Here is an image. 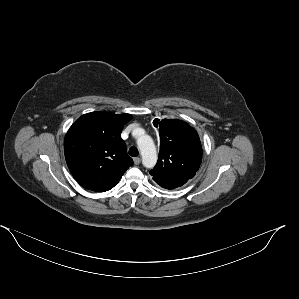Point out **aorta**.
<instances>
[{
  "instance_id": "762f6f07",
  "label": "aorta",
  "mask_w": 299,
  "mask_h": 299,
  "mask_svg": "<svg viewBox=\"0 0 299 299\" xmlns=\"http://www.w3.org/2000/svg\"><path fill=\"white\" fill-rule=\"evenodd\" d=\"M139 132L142 130L139 129ZM137 145L141 152L143 165L147 168H153L158 159L153 139L146 134L139 135Z\"/></svg>"
}]
</instances>
